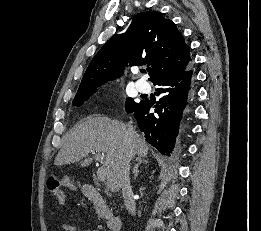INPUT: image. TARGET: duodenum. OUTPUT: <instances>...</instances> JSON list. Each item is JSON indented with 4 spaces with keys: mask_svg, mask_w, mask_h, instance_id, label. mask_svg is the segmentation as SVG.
I'll return each instance as SVG.
<instances>
[{
    "mask_svg": "<svg viewBox=\"0 0 261 231\" xmlns=\"http://www.w3.org/2000/svg\"><path fill=\"white\" fill-rule=\"evenodd\" d=\"M81 192L88 199L93 201L99 207V213L107 217L108 227L111 231H119L121 228V220L118 216L110 214L107 207L102 203V196L98 193L95 187L90 185H82Z\"/></svg>",
    "mask_w": 261,
    "mask_h": 231,
    "instance_id": "410a0bca",
    "label": "duodenum"
}]
</instances>
